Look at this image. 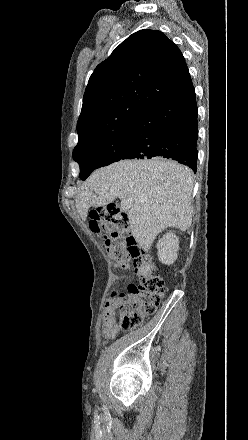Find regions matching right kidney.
Returning a JSON list of instances; mask_svg holds the SVG:
<instances>
[{
    "mask_svg": "<svg viewBox=\"0 0 248 440\" xmlns=\"http://www.w3.org/2000/svg\"><path fill=\"white\" fill-rule=\"evenodd\" d=\"M157 249L158 258L163 264H173L178 257L179 238L173 232L166 233L159 239Z\"/></svg>",
    "mask_w": 248,
    "mask_h": 440,
    "instance_id": "1",
    "label": "right kidney"
}]
</instances>
